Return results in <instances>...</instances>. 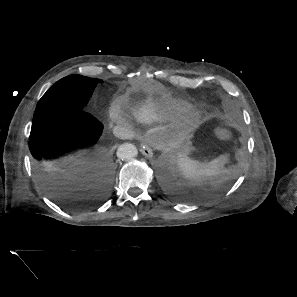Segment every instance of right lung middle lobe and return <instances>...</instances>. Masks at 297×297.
<instances>
[{
    "instance_id": "dd1d6c3e",
    "label": "right lung middle lobe",
    "mask_w": 297,
    "mask_h": 297,
    "mask_svg": "<svg viewBox=\"0 0 297 297\" xmlns=\"http://www.w3.org/2000/svg\"><path fill=\"white\" fill-rule=\"evenodd\" d=\"M99 79L70 75L56 82L39 100L32 123H38L54 112L65 108H79L91 95Z\"/></svg>"
}]
</instances>
